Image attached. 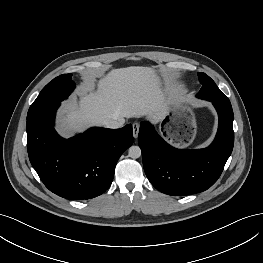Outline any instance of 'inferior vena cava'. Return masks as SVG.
<instances>
[{"label":"inferior vena cava","mask_w":263,"mask_h":263,"mask_svg":"<svg viewBox=\"0 0 263 263\" xmlns=\"http://www.w3.org/2000/svg\"><path fill=\"white\" fill-rule=\"evenodd\" d=\"M103 125L107 128L117 129V128L122 127L123 121L119 119H109V120H105L103 122Z\"/></svg>","instance_id":"602c4592"}]
</instances>
